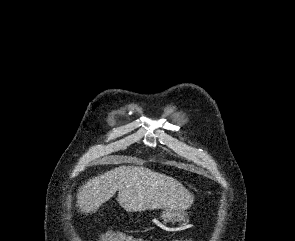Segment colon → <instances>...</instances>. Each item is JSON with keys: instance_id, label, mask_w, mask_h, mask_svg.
Listing matches in <instances>:
<instances>
[{"instance_id": "1", "label": "colon", "mask_w": 295, "mask_h": 241, "mask_svg": "<svg viewBox=\"0 0 295 241\" xmlns=\"http://www.w3.org/2000/svg\"><path fill=\"white\" fill-rule=\"evenodd\" d=\"M127 237L125 233L109 231L102 234L100 241H127Z\"/></svg>"}]
</instances>
